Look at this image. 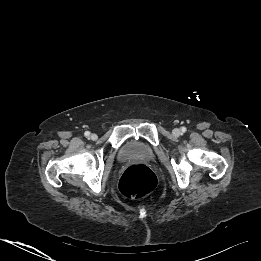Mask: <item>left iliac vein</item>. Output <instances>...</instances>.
Instances as JSON below:
<instances>
[{
  "label": "left iliac vein",
  "instance_id": "obj_1",
  "mask_svg": "<svg viewBox=\"0 0 261 261\" xmlns=\"http://www.w3.org/2000/svg\"><path fill=\"white\" fill-rule=\"evenodd\" d=\"M173 134H174L175 136H179V135L181 134V130L178 129V128H175V129L173 130Z\"/></svg>",
  "mask_w": 261,
  "mask_h": 261
}]
</instances>
